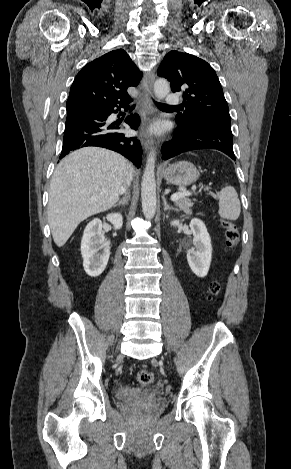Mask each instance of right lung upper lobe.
<instances>
[{
	"instance_id": "1",
	"label": "right lung upper lobe",
	"mask_w": 291,
	"mask_h": 469,
	"mask_svg": "<svg viewBox=\"0 0 291 469\" xmlns=\"http://www.w3.org/2000/svg\"><path fill=\"white\" fill-rule=\"evenodd\" d=\"M142 73L123 50H113L86 64L77 74L67 100V113L97 103L131 102L127 88L136 86Z\"/></svg>"
}]
</instances>
